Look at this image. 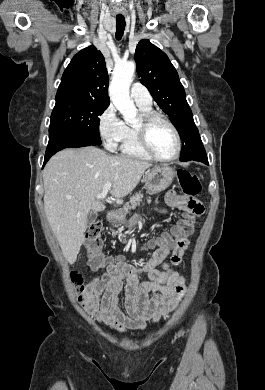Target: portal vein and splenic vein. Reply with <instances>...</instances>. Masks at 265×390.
Instances as JSON below:
<instances>
[{
  "label": "portal vein and splenic vein",
  "instance_id": "1",
  "mask_svg": "<svg viewBox=\"0 0 265 390\" xmlns=\"http://www.w3.org/2000/svg\"><path fill=\"white\" fill-rule=\"evenodd\" d=\"M111 187H112V183H111V182H107V183L104 185L103 191H102L100 194H98L96 197H97L98 199H103V198H105V197L107 196V194H108V191L111 189Z\"/></svg>",
  "mask_w": 265,
  "mask_h": 390
}]
</instances>
